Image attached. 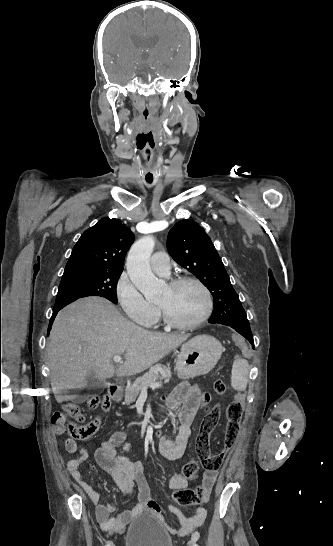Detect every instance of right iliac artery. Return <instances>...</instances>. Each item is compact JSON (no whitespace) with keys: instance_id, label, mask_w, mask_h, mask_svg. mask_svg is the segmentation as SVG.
I'll return each mask as SVG.
<instances>
[{"instance_id":"1","label":"right iliac artery","mask_w":333,"mask_h":546,"mask_svg":"<svg viewBox=\"0 0 333 546\" xmlns=\"http://www.w3.org/2000/svg\"><path fill=\"white\" fill-rule=\"evenodd\" d=\"M112 544H113V543H112L111 541H109V542L106 544V546H112Z\"/></svg>"}]
</instances>
